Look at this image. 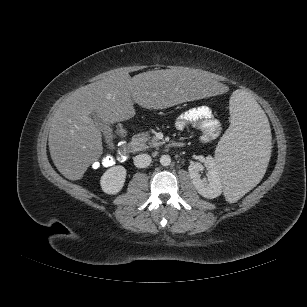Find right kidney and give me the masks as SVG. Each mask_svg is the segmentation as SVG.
Listing matches in <instances>:
<instances>
[{"label": "right kidney", "mask_w": 307, "mask_h": 307, "mask_svg": "<svg viewBox=\"0 0 307 307\" xmlns=\"http://www.w3.org/2000/svg\"><path fill=\"white\" fill-rule=\"evenodd\" d=\"M126 174V169L121 165L106 170L100 180L103 192L110 195L120 192L124 186Z\"/></svg>", "instance_id": "ca27d5eb"}]
</instances>
